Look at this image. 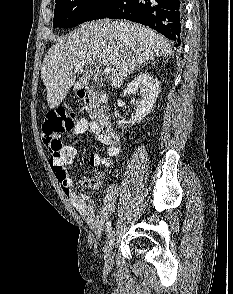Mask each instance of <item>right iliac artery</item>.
<instances>
[{"label":"right iliac artery","instance_id":"obj_1","mask_svg":"<svg viewBox=\"0 0 233 294\" xmlns=\"http://www.w3.org/2000/svg\"><path fill=\"white\" fill-rule=\"evenodd\" d=\"M111 229H112V223H111V221H107V223H106L107 233H110Z\"/></svg>","mask_w":233,"mask_h":294}]
</instances>
